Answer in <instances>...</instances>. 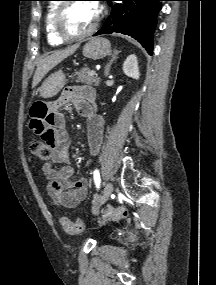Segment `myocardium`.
<instances>
[{"label":"myocardium","instance_id":"1","mask_svg":"<svg viewBox=\"0 0 216 285\" xmlns=\"http://www.w3.org/2000/svg\"><path fill=\"white\" fill-rule=\"evenodd\" d=\"M75 2H63L61 3L54 16L53 20V27H54V32L57 35L58 38H60L63 41L71 42V41H79L83 40L89 36H91L98 28L100 24V13L97 12V17L94 22V24L84 33L81 34H70L66 28H65V16L67 13V10L69 7Z\"/></svg>","mask_w":216,"mask_h":285}]
</instances>
